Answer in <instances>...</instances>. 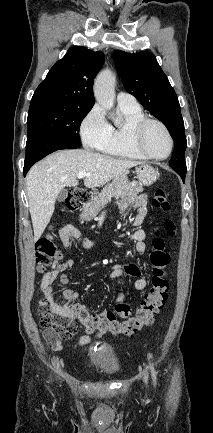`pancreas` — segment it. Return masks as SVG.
Wrapping results in <instances>:
<instances>
[{
	"instance_id": "obj_1",
	"label": "pancreas",
	"mask_w": 213,
	"mask_h": 433,
	"mask_svg": "<svg viewBox=\"0 0 213 433\" xmlns=\"http://www.w3.org/2000/svg\"><path fill=\"white\" fill-rule=\"evenodd\" d=\"M142 191L143 188L138 183L129 182L127 177L123 175L117 176L111 183L107 184L97 196L93 197L88 203L83 205L80 220L89 221L96 217L101 209L114 196H136Z\"/></svg>"
}]
</instances>
